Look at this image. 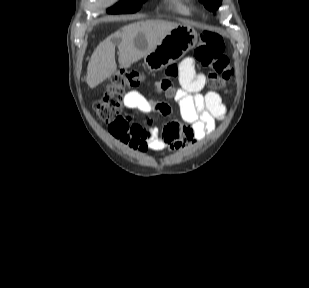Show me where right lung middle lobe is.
Returning a JSON list of instances; mask_svg holds the SVG:
<instances>
[{
	"label": "right lung middle lobe",
	"instance_id": "dd1d6c3e",
	"mask_svg": "<svg viewBox=\"0 0 309 288\" xmlns=\"http://www.w3.org/2000/svg\"><path fill=\"white\" fill-rule=\"evenodd\" d=\"M145 0H123L107 10L110 14L134 13L140 9Z\"/></svg>",
	"mask_w": 309,
	"mask_h": 288
}]
</instances>
